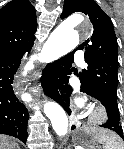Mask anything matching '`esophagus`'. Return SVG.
Returning <instances> with one entry per match:
<instances>
[{"instance_id": "34e87169", "label": "esophagus", "mask_w": 124, "mask_h": 149, "mask_svg": "<svg viewBox=\"0 0 124 149\" xmlns=\"http://www.w3.org/2000/svg\"><path fill=\"white\" fill-rule=\"evenodd\" d=\"M69 119H70L71 124L74 125L76 128L80 127L81 123L80 121L75 119L74 112L71 107H70Z\"/></svg>"}]
</instances>
